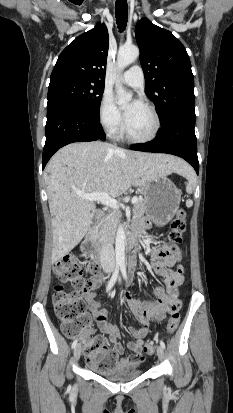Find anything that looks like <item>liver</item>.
<instances>
[{"label":"liver","mask_w":233,"mask_h":413,"mask_svg":"<svg viewBox=\"0 0 233 413\" xmlns=\"http://www.w3.org/2000/svg\"><path fill=\"white\" fill-rule=\"evenodd\" d=\"M190 170L186 162L173 156L134 152L100 141L61 148L44 174L53 228L51 262L74 249L90 227L94 201L77 196L76 191L117 197L157 176Z\"/></svg>","instance_id":"1"}]
</instances>
